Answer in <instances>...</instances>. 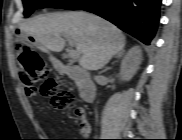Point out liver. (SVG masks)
I'll return each mask as SVG.
<instances>
[{
    "label": "liver",
    "mask_w": 182,
    "mask_h": 140,
    "mask_svg": "<svg viewBox=\"0 0 182 140\" xmlns=\"http://www.w3.org/2000/svg\"><path fill=\"white\" fill-rule=\"evenodd\" d=\"M20 31L33 37L43 51H62L65 47L63 37H69L84 70L102 69L125 46L120 29L84 11L39 15L24 22Z\"/></svg>",
    "instance_id": "1"
}]
</instances>
